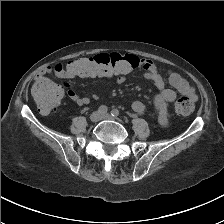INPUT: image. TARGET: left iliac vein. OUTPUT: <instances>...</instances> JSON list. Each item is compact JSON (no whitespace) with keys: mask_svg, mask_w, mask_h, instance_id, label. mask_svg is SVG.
I'll return each instance as SVG.
<instances>
[{"mask_svg":"<svg viewBox=\"0 0 224 224\" xmlns=\"http://www.w3.org/2000/svg\"><path fill=\"white\" fill-rule=\"evenodd\" d=\"M102 119H114V116L110 115L109 113L103 114Z\"/></svg>","mask_w":224,"mask_h":224,"instance_id":"1","label":"left iliac vein"}]
</instances>
